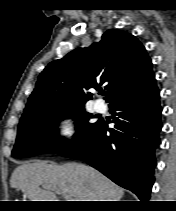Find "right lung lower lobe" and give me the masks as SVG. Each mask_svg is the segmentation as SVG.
Instances as JSON below:
<instances>
[{
	"label": "right lung lower lobe",
	"instance_id": "98d812e1",
	"mask_svg": "<svg viewBox=\"0 0 176 211\" xmlns=\"http://www.w3.org/2000/svg\"><path fill=\"white\" fill-rule=\"evenodd\" d=\"M116 125L106 135L99 121L83 140L58 154L80 159L116 184L134 192L142 202L154 183L155 148L159 144L161 107L156 81L139 95L110 106Z\"/></svg>",
	"mask_w": 176,
	"mask_h": 211
}]
</instances>
